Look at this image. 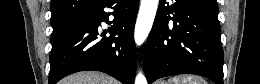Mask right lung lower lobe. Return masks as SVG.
Segmentation results:
<instances>
[{"mask_svg": "<svg viewBox=\"0 0 260 84\" xmlns=\"http://www.w3.org/2000/svg\"><path fill=\"white\" fill-rule=\"evenodd\" d=\"M139 0H101L51 41L49 84L85 70L107 73L123 84H134L136 49L133 39ZM108 7L114 10L113 21ZM101 22L112 24L110 36L100 34ZM100 36H103L102 38Z\"/></svg>", "mask_w": 260, "mask_h": 84, "instance_id": "98d812e1", "label": "right lung lower lobe"}]
</instances>
